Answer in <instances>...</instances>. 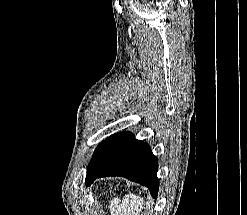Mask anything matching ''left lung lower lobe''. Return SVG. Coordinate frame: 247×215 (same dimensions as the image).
Wrapping results in <instances>:
<instances>
[{
    "label": "left lung lower lobe",
    "instance_id": "left-lung-lower-lobe-1",
    "mask_svg": "<svg viewBox=\"0 0 247 215\" xmlns=\"http://www.w3.org/2000/svg\"><path fill=\"white\" fill-rule=\"evenodd\" d=\"M158 161L149 145L134 138L133 134H114L102 142L95 150L87 167L85 184L89 186L96 178L123 176L140 183L157 197Z\"/></svg>",
    "mask_w": 247,
    "mask_h": 215
}]
</instances>
